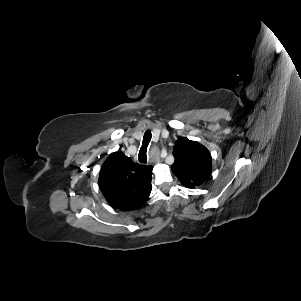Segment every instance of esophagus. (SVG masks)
Masks as SVG:
<instances>
[{"label": "esophagus", "mask_w": 301, "mask_h": 301, "mask_svg": "<svg viewBox=\"0 0 301 301\" xmlns=\"http://www.w3.org/2000/svg\"><path fill=\"white\" fill-rule=\"evenodd\" d=\"M153 152H154V153H156V152H157V150L154 148V149H153ZM150 162H151V163H153L154 161H153V160H151Z\"/></svg>", "instance_id": "1"}]
</instances>
